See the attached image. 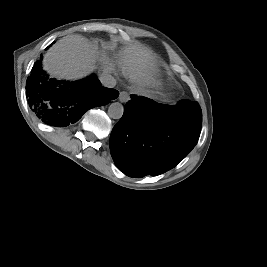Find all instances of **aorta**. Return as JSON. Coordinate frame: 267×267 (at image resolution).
Segmentation results:
<instances>
[{"instance_id":"762f6f07","label":"aorta","mask_w":267,"mask_h":267,"mask_svg":"<svg viewBox=\"0 0 267 267\" xmlns=\"http://www.w3.org/2000/svg\"><path fill=\"white\" fill-rule=\"evenodd\" d=\"M124 108L119 102L112 103L108 108V115L112 119H120L123 116Z\"/></svg>"}]
</instances>
